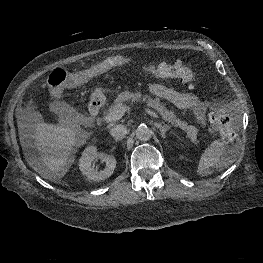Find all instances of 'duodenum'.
<instances>
[{
  "instance_id": "obj_1",
  "label": "duodenum",
  "mask_w": 263,
  "mask_h": 263,
  "mask_svg": "<svg viewBox=\"0 0 263 263\" xmlns=\"http://www.w3.org/2000/svg\"><path fill=\"white\" fill-rule=\"evenodd\" d=\"M102 107V103L99 100H92L89 104V112L92 116H98Z\"/></svg>"
}]
</instances>
